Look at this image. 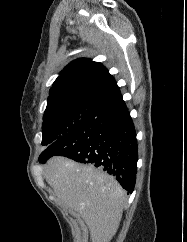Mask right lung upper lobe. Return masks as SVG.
<instances>
[{
  "label": "right lung upper lobe",
  "instance_id": "obj_1",
  "mask_svg": "<svg viewBox=\"0 0 187 242\" xmlns=\"http://www.w3.org/2000/svg\"><path fill=\"white\" fill-rule=\"evenodd\" d=\"M121 98L119 87L106 67L80 58L68 64L53 83L45 111L69 104L105 108Z\"/></svg>",
  "mask_w": 187,
  "mask_h": 242
}]
</instances>
